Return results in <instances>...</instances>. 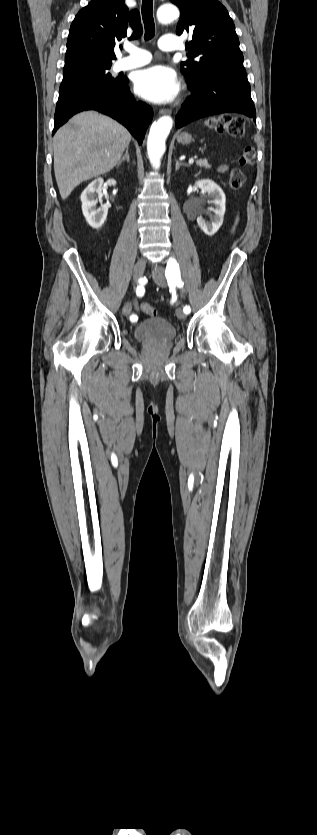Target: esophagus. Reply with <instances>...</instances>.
Here are the masks:
<instances>
[{
	"label": "esophagus",
	"mask_w": 317,
	"mask_h": 835,
	"mask_svg": "<svg viewBox=\"0 0 317 835\" xmlns=\"http://www.w3.org/2000/svg\"><path fill=\"white\" fill-rule=\"evenodd\" d=\"M159 114H171V110L170 109H160Z\"/></svg>",
	"instance_id": "34e87169"
}]
</instances>
